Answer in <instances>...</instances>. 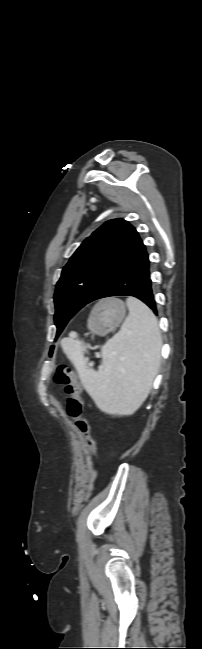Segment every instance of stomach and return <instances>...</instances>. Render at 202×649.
<instances>
[{"mask_svg": "<svg viewBox=\"0 0 202 649\" xmlns=\"http://www.w3.org/2000/svg\"><path fill=\"white\" fill-rule=\"evenodd\" d=\"M125 316L126 307L123 301L116 298L105 299L95 305L89 317L88 327L98 335H105L117 328Z\"/></svg>", "mask_w": 202, "mask_h": 649, "instance_id": "stomach-1", "label": "stomach"}]
</instances>
